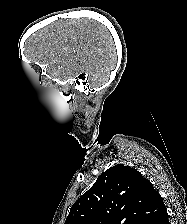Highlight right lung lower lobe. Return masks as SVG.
I'll return each mask as SVG.
<instances>
[{
    "mask_svg": "<svg viewBox=\"0 0 187 224\" xmlns=\"http://www.w3.org/2000/svg\"><path fill=\"white\" fill-rule=\"evenodd\" d=\"M156 224H169L168 214H165Z\"/></svg>",
    "mask_w": 187,
    "mask_h": 224,
    "instance_id": "98d812e1",
    "label": "right lung lower lobe"
}]
</instances>
